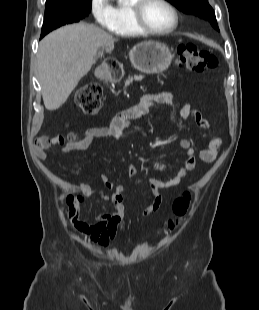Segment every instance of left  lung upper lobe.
<instances>
[{"mask_svg": "<svg viewBox=\"0 0 259 310\" xmlns=\"http://www.w3.org/2000/svg\"><path fill=\"white\" fill-rule=\"evenodd\" d=\"M175 5L179 10L186 14H192L199 16L205 20H208L211 25L219 30L215 13L212 7L209 5L208 0H167Z\"/></svg>", "mask_w": 259, "mask_h": 310, "instance_id": "1", "label": "left lung upper lobe"}]
</instances>
